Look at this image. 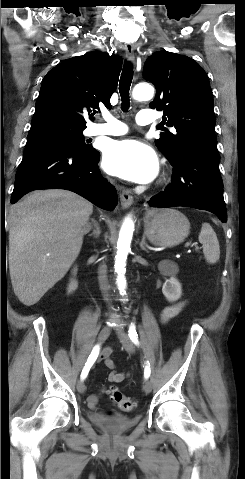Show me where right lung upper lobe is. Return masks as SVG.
Instances as JSON below:
<instances>
[{
	"mask_svg": "<svg viewBox=\"0 0 245 479\" xmlns=\"http://www.w3.org/2000/svg\"><path fill=\"white\" fill-rule=\"evenodd\" d=\"M122 61L119 57L93 51L59 63L44 77L30 129L66 126L85 129V114L111 108L110 97L117 88Z\"/></svg>",
	"mask_w": 245,
	"mask_h": 479,
	"instance_id": "right-lung-upper-lobe-1",
	"label": "right lung upper lobe"
}]
</instances>
